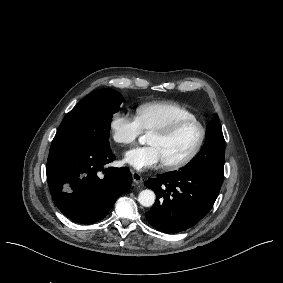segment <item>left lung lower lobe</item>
<instances>
[{
	"label": "left lung lower lobe",
	"mask_w": 283,
	"mask_h": 283,
	"mask_svg": "<svg viewBox=\"0 0 283 283\" xmlns=\"http://www.w3.org/2000/svg\"><path fill=\"white\" fill-rule=\"evenodd\" d=\"M214 159L210 155L197 163L198 169L185 166L181 171L145 182L157 197L145 213L152 227L164 233H178L194 226L211 210L222 184L214 177L218 166Z\"/></svg>",
	"instance_id": "1"
}]
</instances>
